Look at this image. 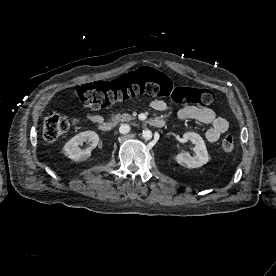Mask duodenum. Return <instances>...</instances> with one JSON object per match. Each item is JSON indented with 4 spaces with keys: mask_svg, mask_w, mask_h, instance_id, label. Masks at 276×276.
Listing matches in <instances>:
<instances>
[{
    "mask_svg": "<svg viewBox=\"0 0 276 276\" xmlns=\"http://www.w3.org/2000/svg\"><path fill=\"white\" fill-rule=\"evenodd\" d=\"M148 125L155 128H162L165 125V121L162 119H149L147 121ZM114 127V124L110 121H104L99 125V128L102 132L108 133Z\"/></svg>",
    "mask_w": 276,
    "mask_h": 276,
    "instance_id": "1",
    "label": "duodenum"
}]
</instances>
